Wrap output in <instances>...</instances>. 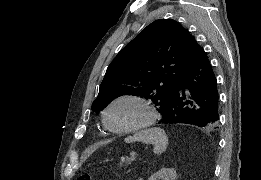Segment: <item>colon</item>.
<instances>
[{
    "instance_id": "colon-1",
    "label": "colon",
    "mask_w": 261,
    "mask_h": 180,
    "mask_svg": "<svg viewBox=\"0 0 261 180\" xmlns=\"http://www.w3.org/2000/svg\"><path fill=\"white\" fill-rule=\"evenodd\" d=\"M78 180H90V174L88 173H80L78 175Z\"/></svg>"
}]
</instances>
